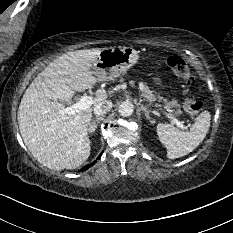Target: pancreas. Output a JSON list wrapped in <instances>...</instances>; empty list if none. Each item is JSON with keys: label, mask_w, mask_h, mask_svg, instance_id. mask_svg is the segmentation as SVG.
<instances>
[{"label": "pancreas", "mask_w": 233, "mask_h": 233, "mask_svg": "<svg viewBox=\"0 0 233 233\" xmlns=\"http://www.w3.org/2000/svg\"><path fill=\"white\" fill-rule=\"evenodd\" d=\"M139 90H140L142 96H144L147 100H149V101H155L157 99L159 101L163 100L166 108L170 109V108L174 107V108H177L175 111L176 113H181L180 105L177 103L176 100L172 99L171 101L167 102V100L162 99V97L160 95H155L153 93L154 91L150 90V88L147 86L146 83L141 82L139 85Z\"/></svg>", "instance_id": "pancreas-1"}]
</instances>
